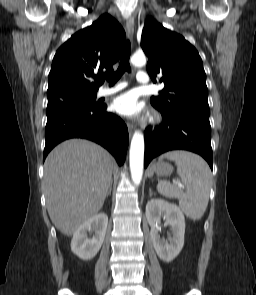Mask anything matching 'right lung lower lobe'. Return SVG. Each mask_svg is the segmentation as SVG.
Returning a JSON list of instances; mask_svg holds the SVG:
<instances>
[{"label":"right lung lower lobe","instance_id":"98d812e1","mask_svg":"<svg viewBox=\"0 0 256 295\" xmlns=\"http://www.w3.org/2000/svg\"><path fill=\"white\" fill-rule=\"evenodd\" d=\"M107 105L85 106L73 101L48 100L43 160L58 143L74 137L86 138L105 147L122 165L128 147L124 122L106 112Z\"/></svg>","mask_w":256,"mask_h":295}]
</instances>
